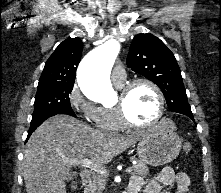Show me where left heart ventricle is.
<instances>
[{"mask_svg": "<svg viewBox=\"0 0 221 193\" xmlns=\"http://www.w3.org/2000/svg\"><path fill=\"white\" fill-rule=\"evenodd\" d=\"M121 101L118 96L117 103ZM129 117L139 123L151 121L157 113L158 100L154 90L147 85L135 87L124 99Z\"/></svg>", "mask_w": 221, "mask_h": 193, "instance_id": "b2bd125f", "label": "left heart ventricle"}]
</instances>
